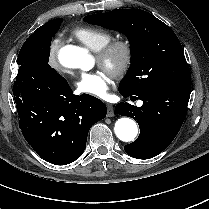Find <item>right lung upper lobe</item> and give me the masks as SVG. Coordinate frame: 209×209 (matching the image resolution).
Masks as SVG:
<instances>
[{
  "label": "right lung upper lobe",
  "instance_id": "1",
  "mask_svg": "<svg viewBox=\"0 0 209 209\" xmlns=\"http://www.w3.org/2000/svg\"><path fill=\"white\" fill-rule=\"evenodd\" d=\"M52 21V20H51ZM51 21L47 22L46 24L42 25L41 27H39L38 29L41 30V29H44L46 28L50 23ZM37 30V29H36Z\"/></svg>",
  "mask_w": 209,
  "mask_h": 209
}]
</instances>
